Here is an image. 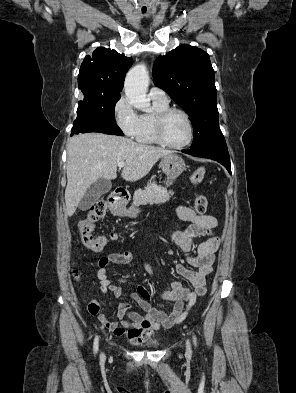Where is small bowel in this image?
I'll list each match as a JSON object with an SVG mask.
<instances>
[{
  "mask_svg": "<svg viewBox=\"0 0 296 393\" xmlns=\"http://www.w3.org/2000/svg\"><path fill=\"white\" fill-rule=\"evenodd\" d=\"M177 217L189 222L190 225L183 231H175L168 238L186 253V262L195 270L177 263L176 272L189 280L192 288L184 286L180 281H174L171 288L162 290L161 296L173 301L171 309H157L152 305V294L145 285H139L135 293L130 295L128 301L118 305L119 320H111L101 312V299L107 293L120 297L123 294L121 284L133 286L126 279L112 281L108 276L107 267L110 263L128 264L133 259L130 251L112 252L98 260L97 277L99 279V295L88 302L87 308L91 315L96 316L102 325L116 336H125L133 344H141L148 340L155 331L169 329L180 324L187 316L188 311L195 304L196 299L206 293V276L211 273L215 261V253L220 245V238L214 233L218 221L211 215L198 214L192 208L179 205L176 210ZM201 236L209 238L197 246L194 255L189 254L194 239ZM149 273L150 267L146 266ZM132 302L136 303L141 312L130 310Z\"/></svg>",
  "mask_w": 296,
  "mask_h": 393,
  "instance_id": "c3829d8e",
  "label": "small bowel"
}]
</instances>
